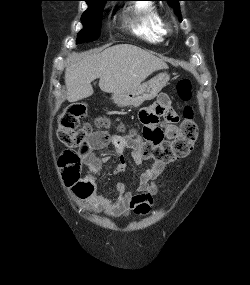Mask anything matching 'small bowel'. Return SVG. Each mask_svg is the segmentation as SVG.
I'll return each mask as SVG.
<instances>
[{
	"label": "small bowel",
	"mask_w": 250,
	"mask_h": 285,
	"mask_svg": "<svg viewBox=\"0 0 250 285\" xmlns=\"http://www.w3.org/2000/svg\"><path fill=\"white\" fill-rule=\"evenodd\" d=\"M161 118L166 121V126L161 127ZM139 119L143 123V136L128 137L121 135H108L94 133L90 135L86 143L80 148V156L90 168V173L71 185V191L75 197L84 201L89 211L104 213L110 217H122L133 212L137 215H145L152 208L154 196L157 193L155 180L163 173L165 163L155 161L145 168L139 176L138 188L135 193L127 190L122 182L116 185L115 196L107 197L97 192L95 176L107 165L109 159L96 158L94 152L100 150L110 142L118 157V163L111 169L113 173H122L126 169L124 153L132 149V158L138 166H142V159L138 154L139 146L143 141H151V144H166V141L174 138L178 131L176 113L169 107L168 101L162 97L159 102L144 108L139 113ZM105 136L106 140L101 137Z\"/></svg>",
	"instance_id": "c3829d8e"
}]
</instances>
